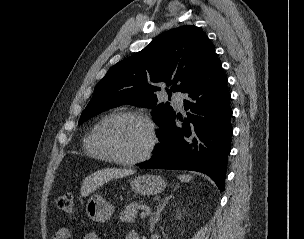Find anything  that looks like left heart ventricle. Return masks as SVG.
Masks as SVG:
<instances>
[{
    "mask_svg": "<svg viewBox=\"0 0 304 239\" xmlns=\"http://www.w3.org/2000/svg\"><path fill=\"white\" fill-rule=\"evenodd\" d=\"M109 146L123 158L142 154L150 142L149 128L136 119H122L111 124L105 133Z\"/></svg>",
    "mask_w": 304,
    "mask_h": 239,
    "instance_id": "b2bd125f",
    "label": "left heart ventricle"
}]
</instances>
